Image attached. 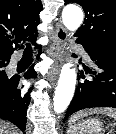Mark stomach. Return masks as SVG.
Listing matches in <instances>:
<instances>
[{
	"mask_svg": "<svg viewBox=\"0 0 116 134\" xmlns=\"http://www.w3.org/2000/svg\"><path fill=\"white\" fill-rule=\"evenodd\" d=\"M103 124L97 119H86L70 125L69 134H101Z\"/></svg>",
	"mask_w": 116,
	"mask_h": 134,
	"instance_id": "0dacf381",
	"label": "stomach"
}]
</instances>
